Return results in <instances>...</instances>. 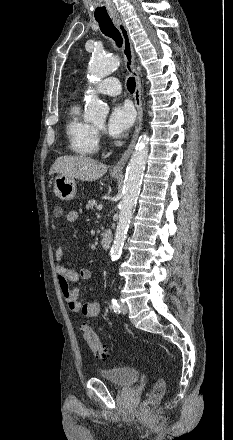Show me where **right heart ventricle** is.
Returning a JSON list of instances; mask_svg holds the SVG:
<instances>
[{
	"mask_svg": "<svg viewBox=\"0 0 233 440\" xmlns=\"http://www.w3.org/2000/svg\"><path fill=\"white\" fill-rule=\"evenodd\" d=\"M70 150L81 157H90L99 150L98 134L95 127L81 117L79 105H73L68 112L65 128Z\"/></svg>",
	"mask_w": 233,
	"mask_h": 440,
	"instance_id": "e07e8e85",
	"label": "right heart ventricle"
}]
</instances>
